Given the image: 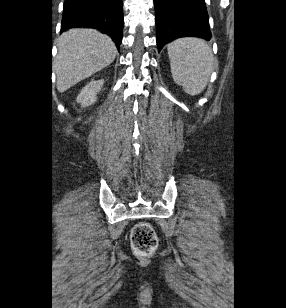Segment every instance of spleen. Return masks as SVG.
Segmentation results:
<instances>
[{
  "label": "spleen",
  "mask_w": 286,
  "mask_h": 308,
  "mask_svg": "<svg viewBox=\"0 0 286 308\" xmlns=\"http://www.w3.org/2000/svg\"><path fill=\"white\" fill-rule=\"evenodd\" d=\"M171 74L176 84L192 96L201 93L214 68V57L202 39L186 37L167 45Z\"/></svg>",
  "instance_id": "spleen-1"
}]
</instances>
